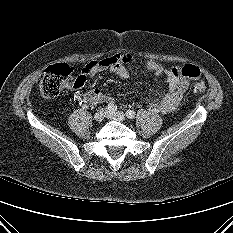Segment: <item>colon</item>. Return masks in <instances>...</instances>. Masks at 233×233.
<instances>
[{"label":"colon","instance_id":"colon-1","mask_svg":"<svg viewBox=\"0 0 233 233\" xmlns=\"http://www.w3.org/2000/svg\"><path fill=\"white\" fill-rule=\"evenodd\" d=\"M71 73L72 68L65 63H58L46 68L38 79V87L42 96L45 98H55L58 96L61 89L67 83ZM174 74L188 79H198L200 70L194 65L187 64L175 69ZM75 82L81 84L82 79L77 78ZM194 90L202 93L206 90V86L203 82H196L194 84Z\"/></svg>","mask_w":233,"mask_h":233}]
</instances>
